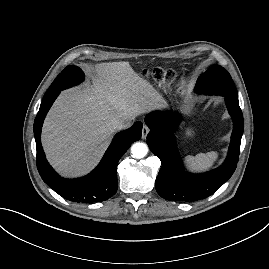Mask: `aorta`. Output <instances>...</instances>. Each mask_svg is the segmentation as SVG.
<instances>
[{"label":"aorta","instance_id":"obj_1","mask_svg":"<svg viewBox=\"0 0 269 269\" xmlns=\"http://www.w3.org/2000/svg\"><path fill=\"white\" fill-rule=\"evenodd\" d=\"M148 153V146L143 142H136L131 146V154L133 158L141 159Z\"/></svg>","mask_w":269,"mask_h":269}]
</instances>
